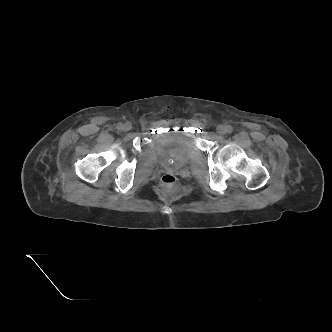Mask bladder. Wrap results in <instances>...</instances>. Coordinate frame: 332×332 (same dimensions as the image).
Here are the masks:
<instances>
[{
	"label": "bladder",
	"mask_w": 332,
	"mask_h": 332,
	"mask_svg": "<svg viewBox=\"0 0 332 332\" xmlns=\"http://www.w3.org/2000/svg\"><path fill=\"white\" fill-rule=\"evenodd\" d=\"M153 148L161 161L172 159L183 163L192 148V137L184 131L166 133L156 138Z\"/></svg>",
	"instance_id": "obj_1"
}]
</instances>
